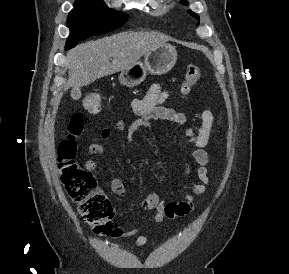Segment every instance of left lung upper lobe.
<instances>
[{"label":"left lung upper lobe","mask_w":289,"mask_h":274,"mask_svg":"<svg viewBox=\"0 0 289 274\" xmlns=\"http://www.w3.org/2000/svg\"><path fill=\"white\" fill-rule=\"evenodd\" d=\"M181 3L184 4V5H187V1H181ZM188 13H189L191 16L199 19L198 15H196L194 12H192V11L189 10Z\"/></svg>","instance_id":"1"}]
</instances>
